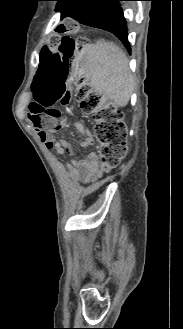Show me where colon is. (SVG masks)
<instances>
[{
    "mask_svg": "<svg viewBox=\"0 0 183 329\" xmlns=\"http://www.w3.org/2000/svg\"><path fill=\"white\" fill-rule=\"evenodd\" d=\"M78 32V25H73L72 19H63L62 25H56L52 39L37 56L40 66H37L35 80L32 81L34 97L29 106L31 115L43 117L47 125L43 132H56L58 127L51 120L59 114L62 104L72 97L66 88L69 68L73 67L75 52L84 44H95V37H73ZM76 99L80 102L84 113L91 114L95 123V137L100 147V170L108 171L116 167L128 153L127 127L122 113L113 106L99 108L100 96L91 93L84 83L77 85Z\"/></svg>",
    "mask_w": 183,
    "mask_h": 329,
    "instance_id": "colon-1",
    "label": "colon"
}]
</instances>
